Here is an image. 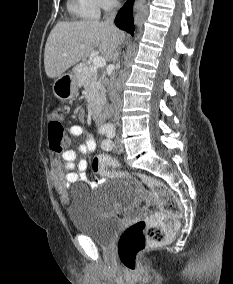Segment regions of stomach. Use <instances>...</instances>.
Wrapping results in <instances>:
<instances>
[{
	"label": "stomach",
	"instance_id": "stomach-1",
	"mask_svg": "<svg viewBox=\"0 0 233 284\" xmlns=\"http://www.w3.org/2000/svg\"><path fill=\"white\" fill-rule=\"evenodd\" d=\"M79 87V79L74 71L71 74L60 75L53 84V93L60 100L72 99Z\"/></svg>",
	"mask_w": 233,
	"mask_h": 284
}]
</instances>
